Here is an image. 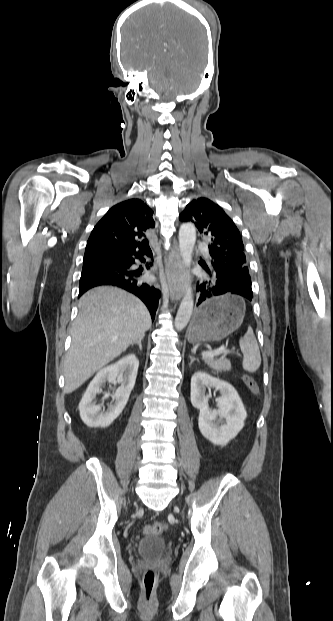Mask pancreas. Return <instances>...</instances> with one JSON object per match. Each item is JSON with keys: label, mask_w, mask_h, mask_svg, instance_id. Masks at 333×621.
Returning <instances> with one entry per match:
<instances>
[{"label": "pancreas", "mask_w": 333, "mask_h": 621, "mask_svg": "<svg viewBox=\"0 0 333 621\" xmlns=\"http://www.w3.org/2000/svg\"><path fill=\"white\" fill-rule=\"evenodd\" d=\"M203 360L210 368L215 370V372L217 373L221 371L231 370L230 360L227 359L225 356H222L220 358L206 357L203 358Z\"/></svg>", "instance_id": "obj_1"}]
</instances>
